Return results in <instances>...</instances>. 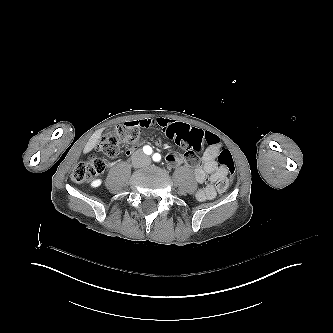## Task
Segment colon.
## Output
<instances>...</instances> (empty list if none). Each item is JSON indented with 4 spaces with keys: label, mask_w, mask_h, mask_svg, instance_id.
Here are the masks:
<instances>
[{
    "label": "colon",
    "mask_w": 333,
    "mask_h": 333,
    "mask_svg": "<svg viewBox=\"0 0 333 333\" xmlns=\"http://www.w3.org/2000/svg\"><path fill=\"white\" fill-rule=\"evenodd\" d=\"M162 136L168 142L184 144L188 148L199 152L202 149H211L218 143L215 136L205 127L195 129L186 122L168 123L162 129ZM139 142V131L126 123L118 125L113 132L107 134L97 144L108 160H114L120 155L121 147L136 146ZM219 163L229 174L235 172V161L227 148H221L218 157ZM107 167L102 158H93L87 162H78L72 171L74 182H84L101 174ZM231 183L228 178L219 182L220 191L226 190Z\"/></svg>",
    "instance_id": "5ec220e1"
}]
</instances>
